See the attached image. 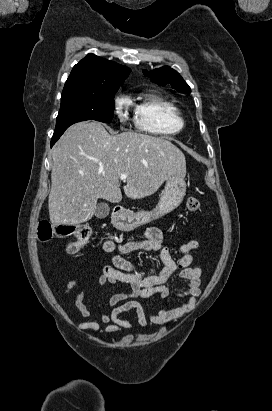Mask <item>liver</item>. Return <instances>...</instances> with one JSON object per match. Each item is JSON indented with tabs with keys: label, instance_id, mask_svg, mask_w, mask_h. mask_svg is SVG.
<instances>
[{
	"label": "liver",
	"instance_id": "liver-1",
	"mask_svg": "<svg viewBox=\"0 0 272 411\" xmlns=\"http://www.w3.org/2000/svg\"><path fill=\"white\" fill-rule=\"evenodd\" d=\"M52 158L48 209L54 226L87 222L99 198L119 203L122 173L124 193L134 200L154 194L169 176L186 174L185 156L170 141L136 132L110 135L99 122L70 126Z\"/></svg>",
	"mask_w": 272,
	"mask_h": 411
}]
</instances>
